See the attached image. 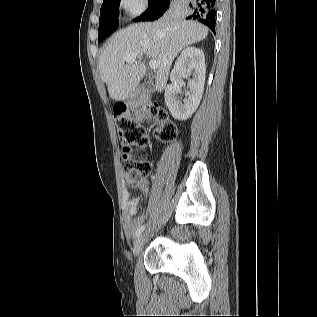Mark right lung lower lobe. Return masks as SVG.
<instances>
[{"label":"right lung lower lobe","instance_id":"obj_1","mask_svg":"<svg viewBox=\"0 0 317 317\" xmlns=\"http://www.w3.org/2000/svg\"><path fill=\"white\" fill-rule=\"evenodd\" d=\"M172 0H161L141 21H153L161 17L169 8ZM190 15L186 19H197L215 33L216 0H189Z\"/></svg>","mask_w":317,"mask_h":317}]
</instances>
